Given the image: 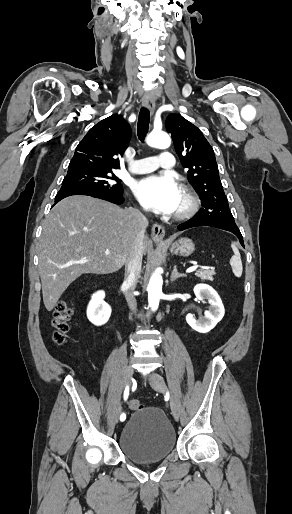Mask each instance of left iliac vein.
<instances>
[{
	"mask_svg": "<svg viewBox=\"0 0 292 514\" xmlns=\"http://www.w3.org/2000/svg\"><path fill=\"white\" fill-rule=\"evenodd\" d=\"M149 382L152 388L160 393H164L166 391V385L163 378L157 373H151L149 376ZM171 414L173 415L176 421L179 420V412L177 405L174 401L170 402Z\"/></svg>",
	"mask_w": 292,
	"mask_h": 514,
	"instance_id": "4c4485c4",
	"label": "left iliac vein"
}]
</instances>
